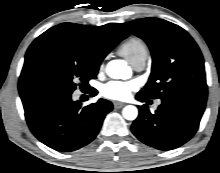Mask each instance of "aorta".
<instances>
[{
    "instance_id": "obj_1",
    "label": "aorta",
    "mask_w": 220,
    "mask_h": 173,
    "mask_svg": "<svg viewBox=\"0 0 220 173\" xmlns=\"http://www.w3.org/2000/svg\"><path fill=\"white\" fill-rule=\"evenodd\" d=\"M106 72L113 79H126L129 76V67L121 60L110 61L107 65ZM123 117L127 120H135L138 116V110L133 105L124 107Z\"/></svg>"
}]
</instances>
